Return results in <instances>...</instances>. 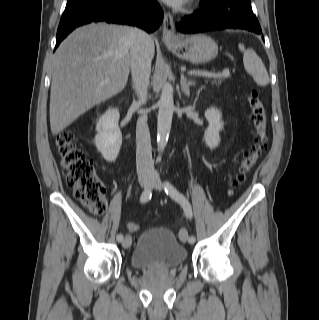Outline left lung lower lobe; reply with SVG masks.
<instances>
[{"mask_svg":"<svg viewBox=\"0 0 319 320\" xmlns=\"http://www.w3.org/2000/svg\"><path fill=\"white\" fill-rule=\"evenodd\" d=\"M226 28L245 29L261 34L250 0H202L201 9L181 18L176 29L182 33H198Z\"/></svg>","mask_w":319,"mask_h":320,"instance_id":"0a47b994","label":"left lung lower lobe"}]
</instances>
